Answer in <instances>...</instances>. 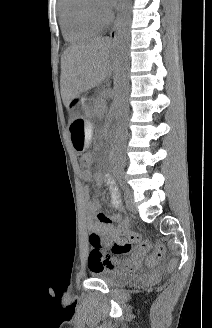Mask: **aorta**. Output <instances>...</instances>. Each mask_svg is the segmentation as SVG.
<instances>
[{"label":"aorta","mask_w":212,"mask_h":328,"mask_svg":"<svg viewBox=\"0 0 212 328\" xmlns=\"http://www.w3.org/2000/svg\"><path fill=\"white\" fill-rule=\"evenodd\" d=\"M132 1L123 0L121 23L117 32L116 39V67L114 77L115 91V120H116V143L117 151L113 154L112 162L114 167L111 169L113 180H120L124 175L122 166L121 146L126 137V125L128 119V72L129 56L128 48L130 43V25H131Z\"/></svg>","instance_id":"obj_1"}]
</instances>
